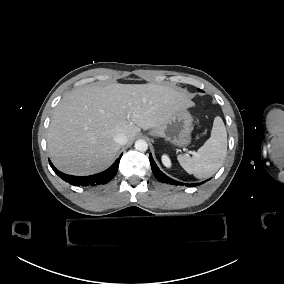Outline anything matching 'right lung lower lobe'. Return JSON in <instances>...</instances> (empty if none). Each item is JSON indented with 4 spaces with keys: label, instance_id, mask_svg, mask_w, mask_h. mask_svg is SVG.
Here are the masks:
<instances>
[{
    "label": "right lung lower lobe",
    "instance_id": "right-lung-lower-lobe-1",
    "mask_svg": "<svg viewBox=\"0 0 284 284\" xmlns=\"http://www.w3.org/2000/svg\"><path fill=\"white\" fill-rule=\"evenodd\" d=\"M122 154L120 157L105 171L91 175V176H72L67 175L59 170H57L51 161L49 160L50 166L54 170V172L61 177L64 181L68 182L69 184L75 185V186H96L100 184H106L108 183L113 177L116 175L118 171L119 161L121 159Z\"/></svg>",
    "mask_w": 284,
    "mask_h": 284
}]
</instances>
